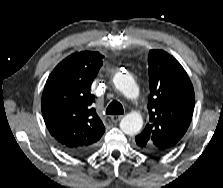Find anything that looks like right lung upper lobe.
Masks as SVG:
<instances>
[{
    "instance_id": "obj_1",
    "label": "right lung upper lobe",
    "mask_w": 223,
    "mask_h": 188,
    "mask_svg": "<svg viewBox=\"0 0 223 188\" xmlns=\"http://www.w3.org/2000/svg\"><path fill=\"white\" fill-rule=\"evenodd\" d=\"M103 57L93 51L73 53L54 68L45 84L42 115L50 134L62 147L93 146L105 132L90 93Z\"/></svg>"
}]
</instances>
